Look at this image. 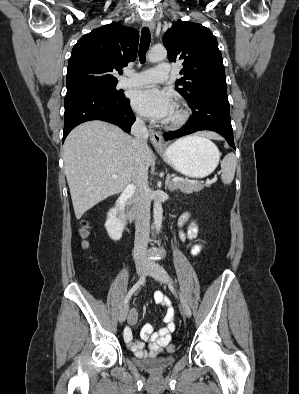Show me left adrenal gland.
I'll use <instances>...</instances> for the list:
<instances>
[{"mask_svg":"<svg viewBox=\"0 0 299 394\" xmlns=\"http://www.w3.org/2000/svg\"><path fill=\"white\" fill-rule=\"evenodd\" d=\"M165 186L169 189V191H173L174 190V185L171 182L170 175H168V177L166 179Z\"/></svg>","mask_w":299,"mask_h":394,"instance_id":"left-adrenal-gland-1","label":"left adrenal gland"}]
</instances>
